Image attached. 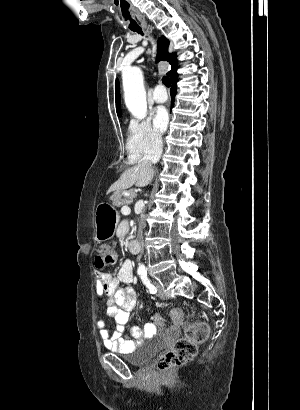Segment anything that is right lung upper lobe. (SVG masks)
I'll return each instance as SVG.
<instances>
[{
	"instance_id": "1",
	"label": "right lung upper lobe",
	"mask_w": 300,
	"mask_h": 410,
	"mask_svg": "<svg viewBox=\"0 0 300 410\" xmlns=\"http://www.w3.org/2000/svg\"><path fill=\"white\" fill-rule=\"evenodd\" d=\"M169 48V41L166 39L164 36L158 40V58L157 61L164 60V61H169L171 65V70L167 73L170 78H172L176 74V69H177V60L175 53L174 54H169L168 52ZM115 91H116V109H117V115L121 116L122 112L120 110V87H119V81L116 80L115 83Z\"/></svg>"
}]
</instances>
